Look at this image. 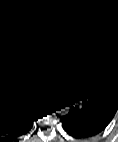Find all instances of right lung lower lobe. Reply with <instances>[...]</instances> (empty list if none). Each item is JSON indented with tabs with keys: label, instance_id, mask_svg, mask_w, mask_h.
<instances>
[{
	"label": "right lung lower lobe",
	"instance_id": "obj_1",
	"mask_svg": "<svg viewBox=\"0 0 118 142\" xmlns=\"http://www.w3.org/2000/svg\"><path fill=\"white\" fill-rule=\"evenodd\" d=\"M43 107V104H41L40 108L38 109L37 113L35 114V116L22 128H20L18 131L14 132V135H22V134H26L33 126V122L36 120V117L40 111V109ZM10 134V133H9ZM13 135V134H11Z\"/></svg>",
	"mask_w": 118,
	"mask_h": 142
}]
</instances>
